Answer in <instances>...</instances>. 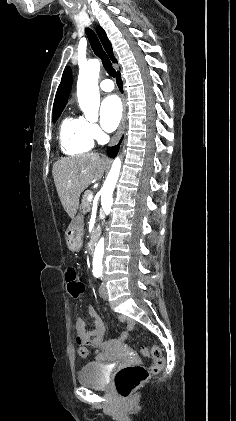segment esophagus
<instances>
[{"label": "esophagus", "mask_w": 236, "mask_h": 421, "mask_svg": "<svg viewBox=\"0 0 236 421\" xmlns=\"http://www.w3.org/2000/svg\"><path fill=\"white\" fill-rule=\"evenodd\" d=\"M122 102H123V115H122V119H121V123L119 125V128L112 138L111 146H113V145H115L119 142V140L122 136L123 130H124V126H125V122H126V113H127L126 101H125L124 96H122Z\"/></svg>", "instance_id": "1"}]
</instances>
